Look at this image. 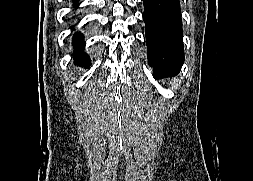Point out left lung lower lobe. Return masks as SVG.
<instances>
[{"instance_id":"1","label":"left lung lower lobe","mask_w":253,"mask_h":181,"mask_svg":"<svg viewBox=\"0 0 253 181\" xmlns=\"http://www.w3.org/2000/svg\"><path fill=\"white\" fill-rule=\"evenodd\" d=\"M148 62L155 76L177 74L184 63L179 0H143Z\"/></svg>"}]
</instances>
